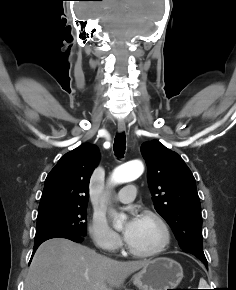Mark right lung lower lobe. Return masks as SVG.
<instances>
[{"label":"right lung lower lobe","mask_w":236,"mask_h":290,"mask_svg":"<svg viewBox=\"0 0 236 290\" xmlns=\"http://www.w3.org/2000/svg\"><path fill=\"white\" fill-rule=\"evenodd\" d=\"M53 238H66V239H69V240H72L74 242H78V243H81L83 241V238L82 237H77V236H57V237H53ZM51 239V238H49ZM48 239H45V240H42V241H39V242H34V249H33V254L35 253L36 249L38 248V246L46 241Z\"/></svg>","instance_id":"right-lung-lower-lobe-1"}]
</instances>
